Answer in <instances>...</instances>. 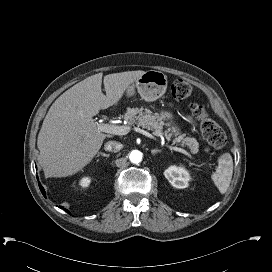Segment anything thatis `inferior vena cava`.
Returning a JSON list of instances; mask_svg holds the SVG:
<instances>
[{"label": "inferior vena cava", "instance_id": "inferior-vena-cava-1", "mask_svg": "<svg viewBox=\"0 0 272 272\" xmlns=\"http://www.w3.org/2000/svg\"><path fill=\"white\" fill-rule=\"evenodd\" d=\"M122 148V144L117 141H109L105 144V150L111 152H118Z\"/></svg>", "mask_w": 272, "mask_h": 272}]
</instances>
